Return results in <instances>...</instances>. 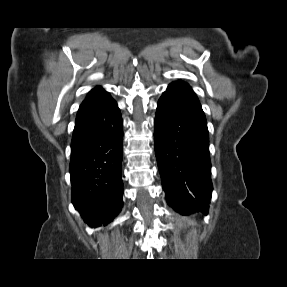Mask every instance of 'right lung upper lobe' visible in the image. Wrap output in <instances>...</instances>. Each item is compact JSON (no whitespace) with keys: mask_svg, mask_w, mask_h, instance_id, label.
Returning <instances> with one entry per match:
<instances>
[{"mask_svg":"<svg viewBox=\"0 0 287 287\" xmlns=\"http://www.w3.org/2000/svg\"><path fill=\"white\" fill-rule=\"evenodd\" d=\"M112 100L113 99L111 98L109 93L105 91L102 87H95L89 92L86 99L80 105L78 114L93 111L108 104Z\"/></svg>","mask_w":287,"mask_h":287,"instance_id":"1","label":"right lung upper lobe"}]
</instances>
